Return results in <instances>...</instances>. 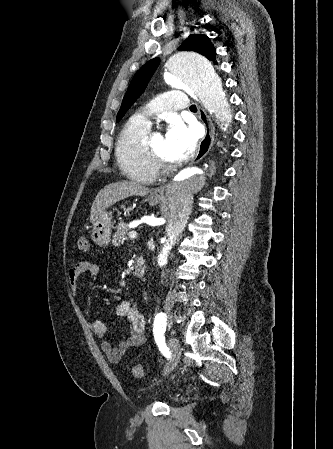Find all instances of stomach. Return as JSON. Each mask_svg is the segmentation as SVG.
<instances>
[{"mask_svg":"<svg viewBox=\"0 0 333 449\" xmlns=\"http://www.w3.org/2000/svg\"><path fill=\"white\" fill-rule=\"evenodd\" d=\"M161 198L149 199L152 206L158 204ZM92 239L100 247L106 246L110 242V236L112 231V216L110 213L104 211L94 222L92 223Z\"/></svg>","mask_w":333,"mask_h":449,"instance_id":"obj_1","label":"stomach"}]
</instances>
